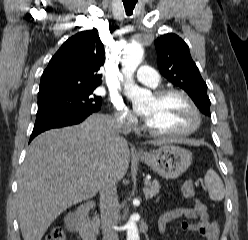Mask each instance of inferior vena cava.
<instances>
[{
  "label": "inferior vena cava",
  "mask_w": 248,
  "mask_h": 240,
  "mask_svg": "<svg viewBox=\"0 0 248 240\" xmlns=\"http://www.w3.org/2000/svg\"><path fill=\"white\" fill-rule=\"evenodd\" d=\"M114 128L118 134H128L131 130L129 123L120 119L114 121ZM117 182L118 180L114 176L108 175L105 177L100 188V213L103 240H118V234L115 229L119 212Z\"/></svg>",
  "instance_id": "obj_1"
}]
</instances>
